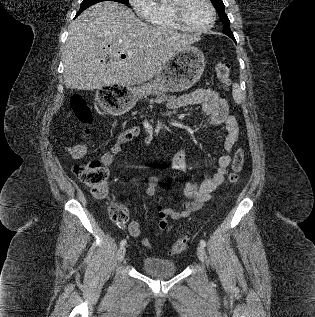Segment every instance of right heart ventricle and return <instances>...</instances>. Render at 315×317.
Returning <instances> with one entry per match:
<instances>
[{"mask_svg": "<svg viewBox=\"0 0 315 317\" xmlns=\"http://www.w3.org/2000/svg\"><path fill=\"white\" fill-rule=\"evenodd\" d=\"M147 20L152 26L159 29H180L171 18L169 11V0L154 3L153 11Z\"/></svg>", "mask_w": 315, "mask_h": 317, "instance_id": "obj_1", "label": "right heart ventricle"}]
</instances>
